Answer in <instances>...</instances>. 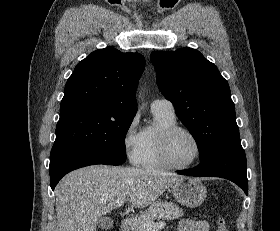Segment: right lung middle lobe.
I'll list each match as a JSON object with an SVG mask.
<instances>
[{
  "label": "right lung middle lobe",
  "instance_id": "obj_1",
  "mask_svg": "<svg viewBox=\"0 0 280 231\" xmlns=\"http://www.w3.org/2000/svg\"><path fill=\"white\" fill-rule=\"evenodd\" d=\"M133 118L97 116L59 120L54 146H74L126 161L125 136Z\"/></svg>",
  "mask_w": 280,
  "mask_h": 231
}]
</instances>
